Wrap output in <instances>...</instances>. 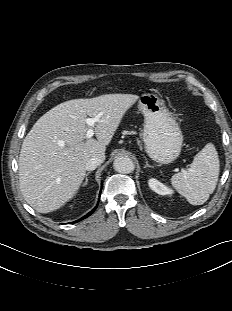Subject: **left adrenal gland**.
Masks as SVG:
<instances>
[{"mask_svg":"<svg viewBox=\"0 0 232 311\" xmlns=\"http://www.w3.org/2000/svg\"><path fill=\"white\" fill-rule=\"evenodd\" d=\"M147 167L153 168V166L148 164V161H146V165L144 166V168H147Z\"/></svg>","mask_w":232,"mask_h":311,"instance_id":"obj_1","label":"left adrenal gland"}]
</instances>
